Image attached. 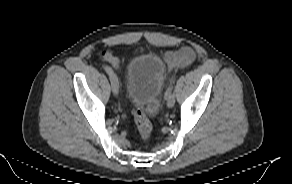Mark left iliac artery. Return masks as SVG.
I'll return each mask as SVG.
<instances>
[{
	"label": "left iliac artery",
	"instance_id": "left-iliac-artery-1",
	"mask_svg": "<svg viewBox=\"0 0 292 184\" xmlns=\"http://www.w3.org/2000/svg\"><path fill=\"white\" fill-rule=\"evenodd\" d=\"M175 83V76H172V78L170 79V84L165 92V98H167V96L169 95L170 91H172L173 89V84Z\"/></svg>",
	"mask_w": 292,
	"mask_h": 184
}]
</instances>
